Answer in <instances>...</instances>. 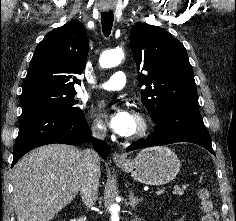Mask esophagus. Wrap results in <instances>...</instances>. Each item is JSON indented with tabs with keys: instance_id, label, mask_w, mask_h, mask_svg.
<instances>
[{
	"instance_id": "esophagus-1",
	"label": "esophagus",
	"mask_w": 236,
	"mask_h": 221,
	"mask_svg": "<svg viewBox=\"0 0 236 221\" xmlns=\"http://www.w3.org/2000/svg\"><path fill=\"white\" fill-rule=\"evenodd\" d=\"M112 159H113V161H114L115 163H122V162L125 161V157L122 156V155L119 154V153H116V152L113 153Z\"/></svg>"
}]
</instances>
